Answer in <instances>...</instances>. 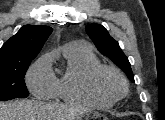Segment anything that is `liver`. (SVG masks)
Listing matches in <instances>:
<instances>
[{
	"label": "liver",
	"mask_w": 165,
	"mask_h": 120,
	"mask_svg": "<svg viewBox=\"0 0 165 120\" xmlns=\"http://www.w3.org/2000/svg\"><path fill=\"white\" fill-rule=\"evenodd\" d=\"M73 120L76 116L88 112L86 108H57L56 105L35 100L0 101V120H52L62 114Z\"/></svg>",
	"instance_id": "6515ba94"
}]
</instances>
